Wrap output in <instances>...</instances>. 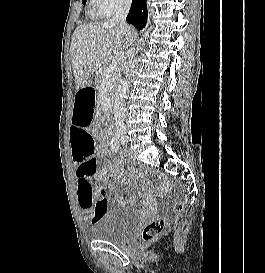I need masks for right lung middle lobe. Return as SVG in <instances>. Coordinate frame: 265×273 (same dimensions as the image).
<instances>
[{"mask_svg":"<svg viewBox=\"0 0 265 273\" xmlns=\"http://www.w3.org/2000/svg\"><path fill=\"white\" fill-rule=\"evenodd\" d=\"M83 4H86V0H83Z\"/></svg>","mask_w":265,"mask_h":273,"instance_id":"1","label":"right lung middle lobe"}]
</instances>
